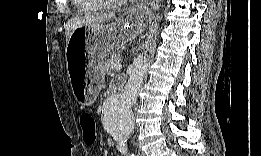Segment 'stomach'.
Returning <instances> with one entry per match:
<instances>
[{"mask_svg": "<svg viewBox=\"0 0 261 156\" xmlns=\"http://www.w3.org/2000/svg\"><path fill=\"white\" fill-rule=\"evenodd\" d=\"M148 14L143 5H137L113 24L82 27L72 32L66 45V61L72 91L80 105L95 101L103 81L100 68L104 59L120 44L142 33ZM82 54L87 55L88 62L79 69L75 64Z\"/></svg>", "mask_w": 261, "mask_h": 156, "instance_id": "1", "label": "stomach"}]
</instances>
